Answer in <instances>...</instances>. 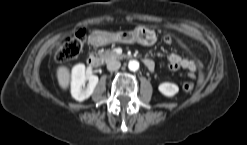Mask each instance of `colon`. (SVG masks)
Here are the masks:
<instances>
[{
  "instance_id": "obj_1",
  "label": "colon",
  "mask_w": 247,
  "mask_h": 145,
  "mask_svg": "<svg viewBox=\"0 0 247 145\" xmlns=\"http://www.w3.org/2000/svg\"><path fill=\"white\" fill-rule=\"evenodd\" d=\"M84 40L85 32L82 30L63 39L56 49L55 60L58 63H64L66 61L75 59L82 50ZM173 40L174 36L171 34L164 36V41L166 43H171ZM182 87L184 91L190 92L194 89V83L191 81H186Z\"/></svg>"
}]
</instances>
